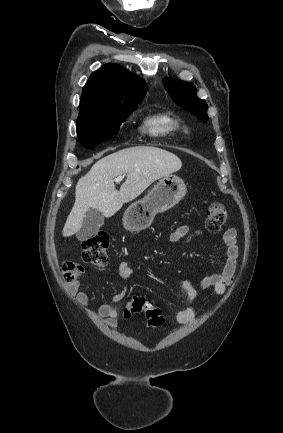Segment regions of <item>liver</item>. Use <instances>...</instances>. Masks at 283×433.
<instances>
[{
  "instance_id": "6515ba94",
  "label": "liver",
  "mask_w": 283,
  "mask_h": 433,
  "mask_svg": "<svg viewBox=\"0 0 283 433\" xmlns=\"http://www.w3.org/2000/svg\"><path fill=\"white\" fill-rule=\"evenodd\" d=\"M182 162L176 154L157 146H130L97 160L75 188V202L62 231L71 237L82 227L89 208H98L104 217H113L123 202L139 196L154 180L176 172ZM127 178L117 190L115 176Z\"/></svg>"
}]
</instances>
